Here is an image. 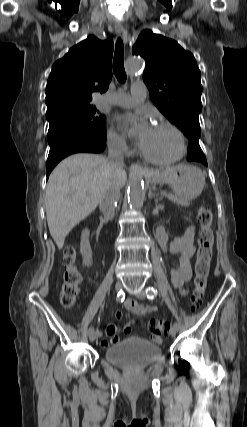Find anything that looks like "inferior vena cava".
<instances>
[{
  "label": "inferior vena cava",
  "instance_id": "1",
  "mask_svg": "<svg viewBox=\"0 0 247 427\" xmlns=\"http://www.w3.org/2000/svg\"><path fill=\"white\" fill-rule=\"evenodd\" d=\"M108 162L112 168H121L124 166V156L122 143L111 141L108 144ZM120 199V189L114 185L110 186L103 193L99 207L107 219H112L115 215V205Z\"/></svg>",
  "mask_w": 247,
  "mask_h": 427
}]
</instances>
